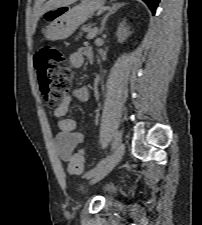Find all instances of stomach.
<instances>
[{"mask_svg":"<svg viewBox=\"0 0 202 225\" xmlns=\"http://www.w3.org/2000/svg\"><path fill=\"white\" fill-rule=\"evenodd\" d=\"M106 0H83L72 8L58 7L44 13L50 19L44 30L46 39L56 41L70 37L77 28L101 9Z\"/></svg>","mask_w":202,"mask_h":225,"instance_id":"stomach-1","label":"stomach"}]
</instances>
